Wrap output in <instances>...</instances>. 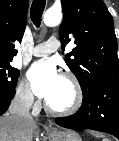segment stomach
Returning <instances> with one entry per match:
<instances>
[{
  "instance_id": "obj_1",
  "label": "stomach",
  "mask_w": 119,
  "mask_h": 141,
  "mask_svg": "<svg viewBox=\"0 0 119 141\" xmlns=\"http://www.w3.org/2000/svg\"><path fill=\"white\" fill-rule=\"evenodd\" d=\"M50 138L51 141H82L79 134L71 130L51 133Z\"/></svg>"
}]
</instances>
